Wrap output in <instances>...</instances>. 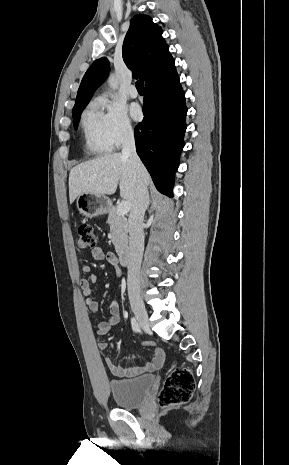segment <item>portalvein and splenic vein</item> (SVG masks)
<instances>
[{
    "instance_id": "18ae733b",
    "label": "portal vein and splenic vein",
    "mask_w": 289,
    "mask_h": 465,
    "mask_svg": "<svg viewBox=\"0 0 289 465\" xmlns=\"http://www.w3.org/2000/svg\"><path fill=\"white\" fill-rule=\"evenodd\" d=\"M131 209V204L130 202L124 200L122 201L118 207H117V213L121 216H124L125 214H127Z\"/></svg>"
}]
</instances>
